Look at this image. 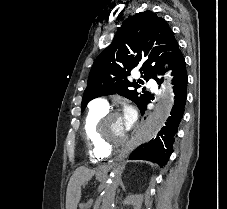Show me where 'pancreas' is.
Returning <instances> with one entry per match:
<instances>
[{
    "label": "pancreas",
    "instance_id": "cf45deb5",
    "mask_svg": "<svg viewBox=\"0 0 227 209\" xmlns=\"http://www.w3.org/2000/svg\"><path fill=\"white\" fill-rule=\"evenodd\" d=\"M81 209H90L88 206H83Z\"/></svg>",
    "mask_w": 227,
    "mask_h": 209
}]
</instances>
